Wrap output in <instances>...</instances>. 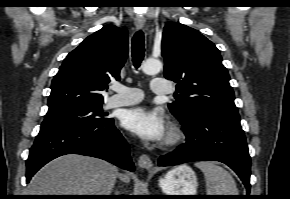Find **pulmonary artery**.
<instances>
[{
  "label": "pulmonary artery",
  "mask_w": 290,
  "mask_h": 199,
  "mask_svg": "<svg viewBox=\"0 0 290 199\" xmlns=\"http://www.w3.org/2000/svg\"><path fill=\"white\" fill-rule=\"evenodd\" d=\"M151 89L155 94H168L173 91L172 85L163 79L151 81ZM114 94L107 100L108 107L128 106L140 102L144 95L138 88L127 87L121 84H113Z\"/></svg>",
  "instance_id": "pulmonary-artery-1"
}]
</instances>
